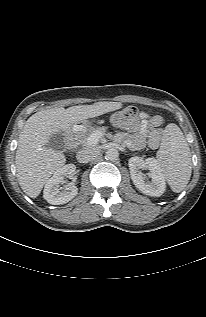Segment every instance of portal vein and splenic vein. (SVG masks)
I'll return each instance as SVG.
<instances>
[{
	"label": "portal vein and splenic vein",
	"instance_id": "portal-vein-and-splenic-vein-1",
	"mask_svg": "<svg viewBox=\"0 0 206 317\" xmlns=\"http://www.w3.org/2000/svg\"><path fill=\"white\" fill-rule=\"evenodd\" d=\"M102 136H103V134H102V133H99V132L92 134V135L88 138V143H89V145L95 146V145L98 143L99 139H100Z\"/></svg>",
	"mask_w": 206,
	"mask_h": 317
}]
</instances>
